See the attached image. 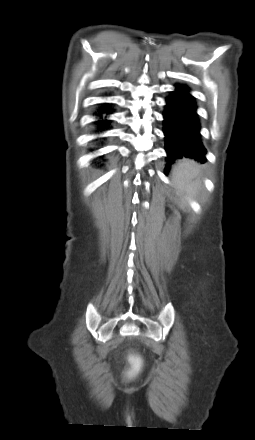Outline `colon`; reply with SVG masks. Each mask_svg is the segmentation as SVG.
Here are the masks:
<instances>
[{
  "instance_id": "colon-1",
  "label": "colon",
  "mask_w": 255,
  "mask_h": 440,
  "mask_svg": "<svg viewBox=\"0 0 255 440\" xmlns=\"http://www.w3.org/2000/svg\"><path fill=\"white\" fill-rule=\"evenodd\" d=\"M133 367L131 369L132 373H136L140 369V360L136 355H132Z\"/></svg>"
}]
</instances>
